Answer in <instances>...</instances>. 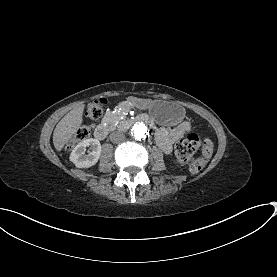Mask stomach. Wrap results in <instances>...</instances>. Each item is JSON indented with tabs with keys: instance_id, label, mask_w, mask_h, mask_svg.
<instances>
[{
	"instance_id": "1",
	"label": "stomach",
	"mask_w": 277,
	"mask_h": 277,
	"mask_svg": "<svg viewBox=\"0 0 277 277\" xmlns=\"http://www.w3.org/2000/svg\"><path fill=\"white\" fill-rule=\"evenodd\" d=\"M131 102L140 109H148L151 117L161 125L175 126L185 116L184 108L174 102L138 98H131Z\"/></svg>"
}]
</instances>
